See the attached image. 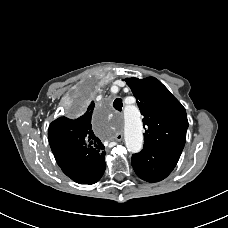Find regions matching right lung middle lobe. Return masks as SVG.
Listing matches in <instances>:
<instances>
[{
	"label": "right lung middle lobe",
	"mask_w": 228,
	"mask_h": 228,
	"mask_svg": "<svg viewBox=\"0 0 228 228\" xmlns=\"http://www.w3.org/2000/svg\"><path fill=\"white\" fill-rule=\"evenodd\" d=\"M90 98H91V91L90 90H85L83 92H81L78 97H76L74 99V110L75 111H82L84 110L89 102H90Z\"/></svg>",
	"instance_id": "dd1d6c3e"
}]
</instances>
